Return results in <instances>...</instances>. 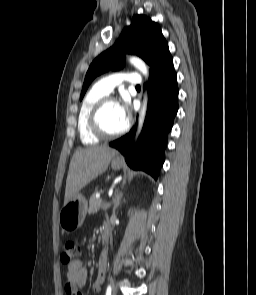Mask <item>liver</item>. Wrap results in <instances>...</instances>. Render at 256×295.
Listing matches in <instances>:
<instances>
[{
  "label": "liver",
  "instance_id": "6515ba94",
  "mask_svg": "<svg viewBox=\"0 0 256 295\" xmlns=\"http://www.w3.org/2000/svg\"><path fill=\"white\" fill-rule=\"evenodd\" d=\"M117 153L115 149L106 145L76 151L69 165L64 204L69 202L92 180L103 174Z\"/></svg>",
  "mask_w": 256,
  "mask_h": 295
}]
</instances>
